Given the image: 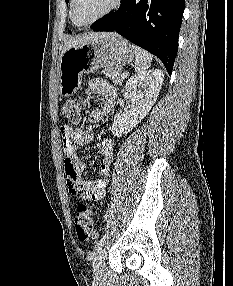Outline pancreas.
<instances>
[{
  "mask_svg": "<svg viewBox=\"0 0 233 286\" xmlns=\"http://www.w3.org/2000/svg\"><path fill=\"white\" fill-rule=\"evenodd\" d=\"M122 71L123 67H106L104 70H102V73L106 77H109L115 85H120L123 82Z\"/></svg>",
  "mask_w": 233,
  "mask_h": 286,
  "instance_id": "pancreas-1",
  "label": "pancreas"
}]
</instances>
